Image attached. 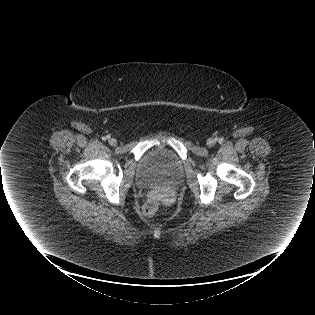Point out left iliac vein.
Listing matches in <instances>:
<instances>
[{"mask_svg": "<svg viewBox=\"0 0 315 315\" xmlns=\"http://www.w3.org/2000/svg\"><path fill=\"white\" fill-rule=\"evenodd\" d=\"M215 140L214 139H209L208 141H207V145L208 146H212V145H214L215 144Z\"/></svg>", "mask_w": 315, "mask_h": 315, "instance_id": "left-iliac-vein-1", "label": "left iliac vein"}]
</instances>
